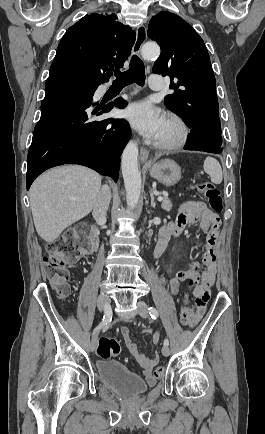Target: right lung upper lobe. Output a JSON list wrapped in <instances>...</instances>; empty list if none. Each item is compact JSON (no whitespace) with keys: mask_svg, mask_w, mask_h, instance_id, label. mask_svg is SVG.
I'll use <instances>...</instances> for the list:
<instances>
[{"mask_svg":"<svg viewBox=\"0 0 265 434\" xmlns=\"http://www.w3.org/2000/svg\"><path fill=\"white\" fill-rule=\"evenodd\" d=\"M136 33L115 13L85 15L61 39L49 76L73 75L106 81L131 53Z\"/></svg>","mask_w":265,"mask_h":434,"instance_id":"right-lung-upper-lobe-1","label":"right lung upper lobe"}]
</instances>
